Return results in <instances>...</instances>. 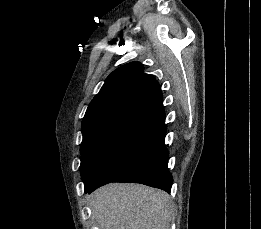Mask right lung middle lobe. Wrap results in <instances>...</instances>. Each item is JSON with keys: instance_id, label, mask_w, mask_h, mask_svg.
Returning a JSON list of instances; mask_svg holds the SVG:
<instances>
[{"instance_id": "obj_1", "label": "right lung middle lobe", "mask_w": 261, "mask_h": 229, "mask_svg": "<svg viewBox=\"0 0 261 229\" xmlns=\"http://www.w3.org/2000/svg\"><path fill=\"white\" fill-rule=\"evenodd\" d=\"M155 130H138L134 133V145L131 148H111L105 146H81V175L85 189L89 188L99 175L121 156L149 138Z\"/></svg>"}]
</instances>
